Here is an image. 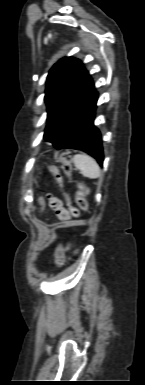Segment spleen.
I'll list each match as a JSON object with an SVG mask.
<instances>
[{
    "mask_svg": "<svg viewBox=\"0 0 145 385\" xmlns=\"http://www.w3.org/2000/svg\"><path fill=\"white\" fill-rule=\"evenodd\" d=\"M73 162L81 174L90 179H96L100 176L101 170L97 162L87 154H76Z\"/></svg>",
    "mask_w": 145,
    "mask_h": 385,
    "instance_id": "spleen-1",
    "label": "spleen"
}]
</instances>
